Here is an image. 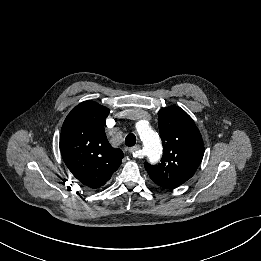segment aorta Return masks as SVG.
Wrapping results in <instances>:
<instances>
[{
  "label": "aorta",
  "instance_id": "aorta-1",
  "mask_svg": "<svg viewBox=\"0 0 261 261\" xmlns=\"http://www.w3.org/2000/svg\"><path fill=\"white\" fill-rule=\"evenodd\" d=\"M137 131L147 151L148 158L151 162H156L160 158L162 145L156 132H154L146 121L137 123Z\"/></svg>",
  "mask_w": 261,
  "mask_h": 261
}]
</instances>
